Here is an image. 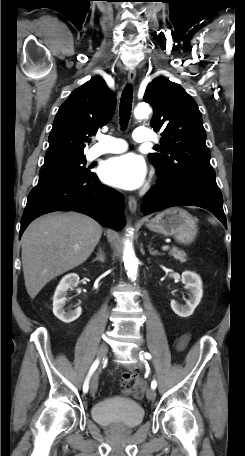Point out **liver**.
<instances>
[{"label": "liver", "mask_w": 245, "mask_h": 456, "mask_svg": "<svg viewBox=\"0 0 245 456\" xmlns=\"http://www.w3.org/2000/svg\"><path fill=\"white\" fill-rule=\"evenodd\" d=\"M102 235V227L77 212L52 213L34 220L22 236L26 290L33 299L55 277L84 263Z\"/></svg>", "instance_id": "liver-1"}]
</instances>
